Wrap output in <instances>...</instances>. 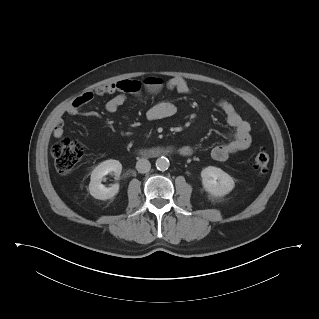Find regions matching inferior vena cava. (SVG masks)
Masks as SVG:
<instances>
[{
  "instance_id": "602c4592",
  "label": "inferior vena cava",
  "mask_w": 319,
  "mask_h": 319,
  "mask_svg": "<svg viewBox=\"0 0 319 319\" xmlns=\"http://www.w3.org/2000/svg\"><path fill=\"white\" fill-rule=\"evenodd\" d=\"M136 169L139 173H147L151 169V164L147 159L142 158L137 161Z\"/></svg>"
}]
</instances>
